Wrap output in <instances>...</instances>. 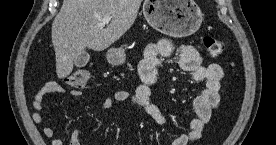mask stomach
Listing matches in <instances>:
<instances>
[{"label":"stomach","mask_w":276,"mask_h":145,"mask_svg":"<svg viewBox=\"0 0 276 145\" xmlns=\"http://www.w3.org/2000/svg\"><path fill=\"white\" fill-rule=\"evenodd\" d=\"M143 14L149 25L170 37H186L196 32L203 15L194 0H145ZM107 59L112 65L126 60L123 48H111Z\"/></svg>","instance_id":"obj_1"}]
</instances>
